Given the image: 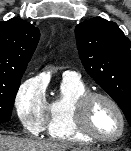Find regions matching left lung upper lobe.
Returning <instances> with one entry per match:
<instances>
[{"label":"left lung upper lobe","mask_w":131,"mask_h":151,"mask_svg":"<svg viewBox=\"0 0 131 151\" xmlns=\"http://www.w3.org/2000/svg\"><path fill=\"white\" fill-rule=\"evenodd\" d=\"M75 36L87 73L117 102L131 126V43L116 23L94 17Z\"/></svg>","instance_id":"left-lung-upper-lobe-1"}]
</instances>
